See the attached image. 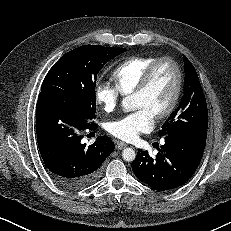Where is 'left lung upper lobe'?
<instances>
[{
    "label": "left lung upper lobe",
    "mask_w": 231,
    "mask_h": 231,
    "mask_svg": "<svg viewBox=\"0 0 231 231\" xmlns=\"http://www.w3.org/2000/svg\"><path fill=\"white\" fill-rule=\"evenodd\" d=\"M185 65L184 95L176 111L162 125L159 137L189 135L206 138L208 110L206 99L192 63L183 55Z\"/></svg>",
    "instance_id": "left-lung-upper-lobe-1"
}]
</instances>
